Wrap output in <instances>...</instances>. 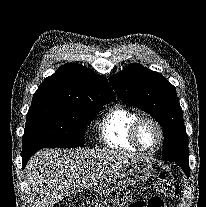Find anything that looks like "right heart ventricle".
Listing matches in <instances>:
<instances>
[{
	"mask_svg": "<svg viewBox=\"0 0 206 207\" xmlns=\"http://www.w3.org/2000/svg\"><path fill=\"white\" fill-rule=\"evenodd\" d=\"M139 114L127 107L116 106L100 120L99 135L103 143L111 149L136 152L130 141V127Z\"/></svg>",
	"mask_w": 206,
	"mask_h": 207,
	"instance_id": "right-heart-ventricle-1",
	"label": "right heart ventricle"
}]
</instances>
